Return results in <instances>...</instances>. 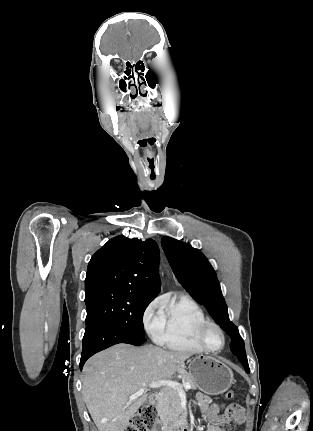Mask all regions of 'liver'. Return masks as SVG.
I'll use <instances>...</instances> for the list:
<instances>
[{
    "label": "liver",
    "mask_w": 313,
    "mask_h": 431,
    "mask_svg": "<svg viewBox=\"0 0 313 431\" xmlns=\"http://www.w3.org/2000/svg\"><path fill=\"white\" fill-rule=\"evenodd\" d=\"M191 354L146 345L117 344L91 357L83 368V398L98 431H124L144 404L148 386L183 372ZM144 388L135 398L130 396Z\"/></svg>",
    "instance_id": "6515ba94"
}]
</instances>
